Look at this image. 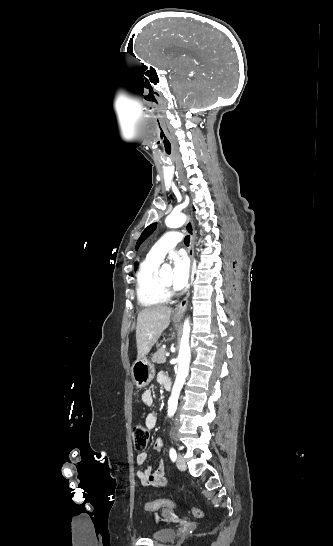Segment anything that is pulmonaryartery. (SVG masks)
I'll use <instances>...</instances> for the list:
<instances>
[{
	"label": "pulmonary artery",
	"instance_id": "e3ab8cb5",
	"mask_svg": "<svg viewBox=\"0 0 333 546\" xmlns=\"http://www.w3.org/2000/svg\"><path fill=\"white\" fill-rule=\"evenodd\" d=\"M182 240L181 234L177 231L165 233L151 248L147 257L162 262L165 255Z\"/></svg>",
	"mask_w": 333,
	"mask_h": 546
}]
</instances>
